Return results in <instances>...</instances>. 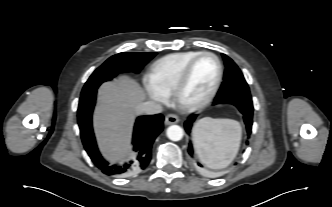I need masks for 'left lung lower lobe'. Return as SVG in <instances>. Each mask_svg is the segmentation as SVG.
I'll list each match as a JSON object with an SVG mask.
<instances>
[{
  "label": "left lung lower lobe",
  "mask_w": 332,
  "mask_h": 207,
  "mask_svg": "<svg viewBox=\"0 0 332 207\" xmlns=\"http://www.w3.org/2000/svg\"><path fill=\"white\" fill-rule=\"evenodd\" d=\"M219 103H229L236 106L239 111L243 114L244 122L247 128V135L249 136L251 134L252 129V117H253V104H252V98L251 97H241V96H229V97H222V98H215L214 104ZM196 115L190 116L187 121L184 123L186 132L190 135L191 128L193 125V122L196 119ZM248 143V142H247ZM188 153L191 158L194 157V149L192 142H189L188 146ZM198 166L202 167L200 163H198Z\"/></svg>",
  "instance_id": "1"
}]
</instances>
